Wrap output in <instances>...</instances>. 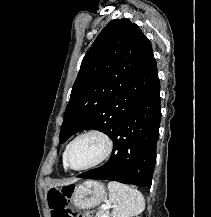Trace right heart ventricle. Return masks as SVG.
<instances>
[{"label": "right heart ventricle", "mask_w": 211, "mask_h": 217, "mask_svg": "<svg viewBox=\"0 0 211 217\" xmlns=\"http://www.w3.org/2000/svg\"><path fill=\"white\" fill-rule=\"evenodd\" d=\"M67 146H68V145H67ZM67 146H66V149H67ZM66 149H65V151H64V153H63V160H62V162H63V167H64L65 170L67 169V165H66V163H65V153H66Z\"/></svg>", "instance_id": "right-heart-ventricle-1"}]
</instances>
